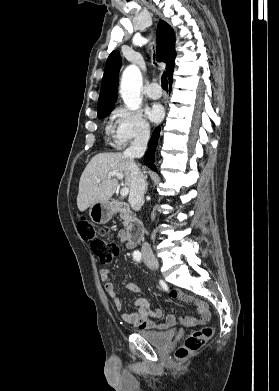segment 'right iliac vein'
<instances>
[{"label": "right iliac vein", "instance_id": "right-iliac-vein-1", "mask_svg": "<svg viewBox=\"0 0 279 391\" xmlns=\"http://www.w3.org/2000/svg\"><path fill=\"white\" fill-rule=\"evenodd\" d=\"M144 261L150 268L158 269L159 263L158 260L154 256H145Z\"/></svg>", "mask_w": 279, "mask_h": 391}]
</instances>
